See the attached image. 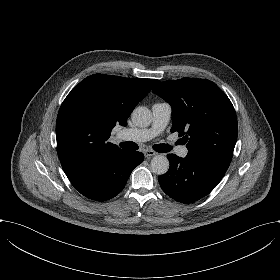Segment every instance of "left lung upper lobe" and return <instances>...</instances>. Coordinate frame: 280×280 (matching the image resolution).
Instances as JSON below:
<instances>
[{
  "instance_id": "1",
  "label": "left lung upper lobe",
  "mask_w": 280,
  "mask_h": 280,
  "mask_svg": "<svg viewBox=\"0 0 280 280\" xmlns=\"http://www.w3.org/2000/svg\"><path fill=\"white\" fill-rule=\"evenodd\" d=\"M153 93L172 107L171 132L188 154L230 164L237 140V117L226 94L212 81L182 78L159 83Z\"/></svg>"
}]
</instances>
